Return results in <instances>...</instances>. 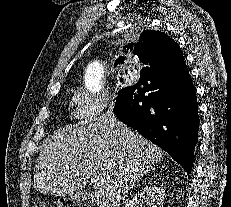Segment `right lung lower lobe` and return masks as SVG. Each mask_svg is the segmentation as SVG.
<instances>
[{
    "label": "right lung lower lobe",
    "instance_id": "right-lung-lower-lobe-1",
    "mask_svg": "<svg viewBox=\"0 0 231 207\" xmlns=\"http://www.w3.org/2000/svg\"><path fill=\"white\" fill-rule=\"evenodd\" d=\"M113 111L120 121L168 152L188 175L191 173L199 115L186 65L175 70L142 68L138 83L119 92Z\"/></svg>",
    "mask_w": 231,
    "mask_h": 207
}]
</instances>
